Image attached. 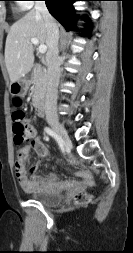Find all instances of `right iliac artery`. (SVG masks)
<instances>
[{
  "mask_svg": "<svg viewBox=\"0 0 133 253\" xmlns=\"http://www.w3.org/2000/svg\"><path fill=\"white\" fill-rule=\"evenodd\" d=\"M45 132L50 135L51 137H53L58 143L59 145L62 147L63 146V141L61 139V137L51 128L49 127H45Z\"/></svg>",
  "mask_w": 133,
  "mask_h": 253,
  "instance_id": "right-iliac-artery-1",
  "label": "right iliac artery"
}]
</instances>
